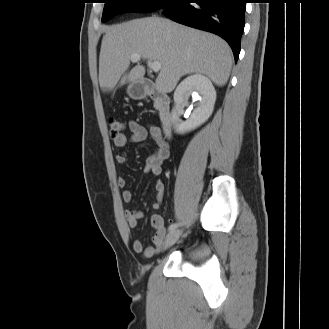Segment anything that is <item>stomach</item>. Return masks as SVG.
Returning a JSON list of instances; mask_svg holds the SVG:
<instances>
[{
    "label": "stomach",
    "mask_w": 329,
    "mask_h": 329,
    "mask_svg": "<svg viewBox=\"0 0 329 329\" xmlns=\"http://www.w3.org/2000/svg\"><path fill=\"white\" fill-rule=\"evenodd\" d=\"M128 95L135 100L144 98L148 93V87L142 80L133 81L127 87Z\"/></svg>",
    "instance_id": "1"
}]
</instances>
